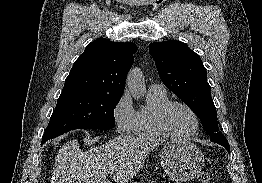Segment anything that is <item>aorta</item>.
I'll list each match as a JSON object with an SVG mask.
<instances>
[{
    "instance_id": "1",
    "label": "aorta",
    "mask_w": 262,
    "mask_h": 183,
    "mask_svg": "<svg viewBox=\"0 0 262 183\" xmlns=\"http://www.w3.org/2000/svg\"><path fill=\"white\" fill-rule=\"evenodd\" d=\"M126 85L135 99H140L144 96L146 87L139 69L134 68L129 72Z\"/></svg>"
}]
</instances>
